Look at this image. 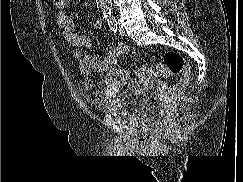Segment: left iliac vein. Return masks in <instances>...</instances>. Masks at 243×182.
Returning <instances> with one entry per match:
<instances>
[{
	"label": "left iliac vein",
	"instance_id": "left-iliac-vein-1",
	"mask_svg": "<svg viewBox=\"0 0 243 182\" xmlns=\"http://www.w3.org/2000/svg\"><path fill=\"white\" fill-rule=\"evenodd\" d=\"M119 35L120 36H126V32L123 28L119 27Z\"/></svg>",
	"mask_w": 243,
	"mask_h": 182
}]
</instances>
